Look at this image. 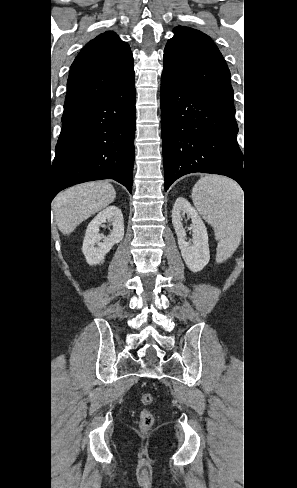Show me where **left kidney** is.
I'll use <instances>...</instances> for the list:
<instances>
[{"instance_id": "1", "label": "left kidney", "mask_w": 297, "mask_h": 488, "mask_svg": "<svg viewBox=\"0 0 297 488\" xmlns=\"http://www.w3.org/2000/svg\"><path fill=\"white\" fill-rule=\"evenodd\" d=\"M187 214L192 221V243L186 239L182 215ZM172 223L177 234L182 257L192 272L201 271L210 260L208 234L198 212L183 197L176 199L172 210Z\"/></svg>"}]
</instances>
